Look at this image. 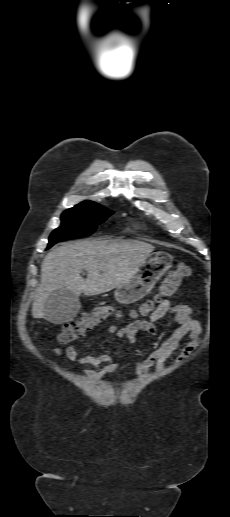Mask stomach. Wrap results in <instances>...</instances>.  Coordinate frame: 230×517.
<instances>
[{"instance_id":"1","label":"stomach","mask_w":230,"mask_h":517,"mask_svg":"<svg viewBox=\"0 0 230 517\" xmlns=\"http://www.w3.org/2000/svg\"><path fill=\"white\" fill-rule=\"evenodd\" d=\"M171 266L170 254L163 251L150 254L128 282L115 290V299L121 304H131L140 300Z\"/></svg>"}]
</instances>
